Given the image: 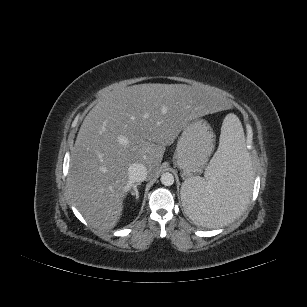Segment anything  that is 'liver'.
Returning <instances> with one entry per match:
<instances>
[{"label":"liver","mask_w":307,"mask_h":307,"mask_svg":"<svg viewBox=\"0 0 307 307\" xmlns=\"http://www.w3.org/2000/svg\"><path fill=\"white\" fill-rule=\"evenodd\" d=\"M227 108L216 93L186 84L112 91L92 108L78 132L68 173L74 205L91 226L113 229L134 186L129 166L141 163L154 175L166 147L189 121Z\"/></svg>","instance_id":"6515ba94"}]
</instances>
